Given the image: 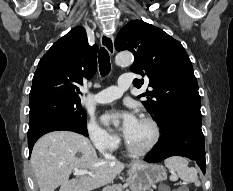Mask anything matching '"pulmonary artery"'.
<instances>
[{
    "label": "pulmonary artery",
    "instance_id": "pulmonary-artery-1",
    "mask_svg": "<svg viewBox=\"0 0 233 191\" xmlns=\"http://www.w3.org/2000/svg\"><path fill=\"white\" fill-rule=\"evenodd\" d=\"M132 86V78L129 75H122L118 79V84L109 86L102 91L98 92L94 100L97 103L105 104L110 103L120 98L125 90Z\"/></svg>",
    "mask_w": 233,
    "mask_h": 191
}]
</instances>
